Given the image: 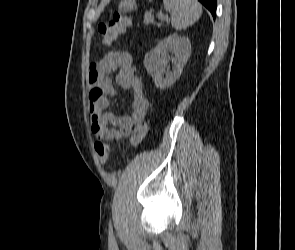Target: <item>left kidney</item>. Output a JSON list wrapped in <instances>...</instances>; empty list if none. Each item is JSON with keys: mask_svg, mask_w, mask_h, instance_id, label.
I'll return each mask as SVG.
<instances>
[{"mask_svg": "<svg viewBox=\"0 0 295 250\" xmlns=\"http://www.w3.org/2000/svg\"><path fill=\"white\" fill-rule=\"evenodd\" d=\"M169 51L174 54V57L171 58L174 66L171 72H166V67L170 60ZM190 53L191 43L189 39L172 34L163 39L157 47L146 54L144 66L157 88L164 89L175 83L180 77L183 67L190 57ZM164 73H166L165 77Z\"/></svg>", "mask_w": 295, "mask_h": 250, "instance_id": "5707ae66", "label": "left kidney"}]
</instances>
